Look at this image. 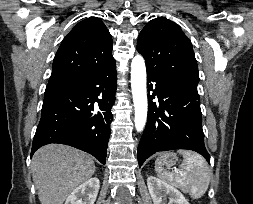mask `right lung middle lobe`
<instances>
[{"mask_svg":"<svg viewBox=\"0 0 253 204\" xmlns=\"http://www.w3.org/2000/svg\"><path fill=\"white\" fill-rule=\"evenodd\" d=\"M64 82H53V83H48L47 84V87H46V90H49V89H52V88H55L59 85H62Z\"/></svg>","mask_w":253,"mask_h":204,"instance_id":"1","label":"right lung middle lobe"}]
</instances>
